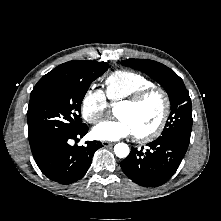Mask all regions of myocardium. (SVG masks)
I'll return each mask as SVG.
<instances>
[{
	"label": "myocardium",
	"instance_id": "1",
	"mask_svg": "<svg viewBox=\"0 0 221 221\" xmlns=\"http://www.w3.org/2000/svg\"><path fill=\"white\" fill-rule=\"evenodd\" d=\"M154 94H159L162 97L163 100V111L162 115L160 117V120L158 121L155 128H153L151 131L144 133V134H134V138L137 142L140 143H147L155 140L157 137L160 136V134L163 132L165 125L167 123V120L170 115V109H171V100L168 92L159 86H152L146 89H143L136 94L125 98L117 103L118 105H128L131 107H136L142 104L146 99H148L150 96Z\"/></svg>",
	"mask_w": 221,
	"mask_h": 221
}]
</instances>
